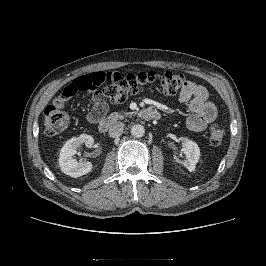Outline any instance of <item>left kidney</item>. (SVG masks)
Listing matches in <instances>:
<instances>
[{"instance_id":"left-kidney-1","label":"left kidney","mask_w":266,"mask_h":266,"mask_svg":"<svg viewBox=\"0 0 266 266\" xmlns=\"http://www.w3.org/2000/svg\"><path fill=\"white\" fill-rule=\"evenodd\" d=\"M180 141L183 144V151L186 156L185 160L181 161V164L184 165L188 171L192 172L199 161L200 148L196 142L186 137H180Z\"/></svg>"}]
</instances>
